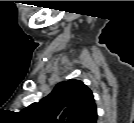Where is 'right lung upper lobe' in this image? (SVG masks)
Here are the masks:
<instances>
[{"label": "right lung upper lobe", "mask_w": 134, "mask_h": 123, "mask_svg": "<svg viewBox=\"0 0 134 123\" xmlns=\"http://www.w3.org/2000/svg\"><path fill=\"white\" fill-rule=\"evenodd\" d=\"M22 112L40 123H96L97 120L92 91L76 79L58 83L47 97Z\"/></svg>", "instance_id": "1"}]
</instances>
